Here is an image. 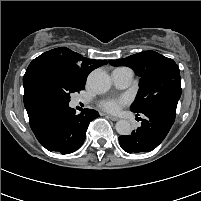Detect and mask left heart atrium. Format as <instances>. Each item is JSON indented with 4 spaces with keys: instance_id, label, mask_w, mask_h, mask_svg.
I'll return each mask as SVG.
<instances>
[{
    "instance_id": "left-heart-atrium-1",
    "label": "left heart atrium",
    "mask_w": 201,
    "mask_h": 201,
    "mask_svg": "<svg viewBox=\"0 0 201 201\" xmlns=\"http://www.w3.org/2000/svg\"><path fill=\"white\" fill-rule=\"evenodd\" d=\"M128 103L127 97L108 98L100 102L101 108L108 112H118L121 107Z\"/></svg>"
}]
</instances>
